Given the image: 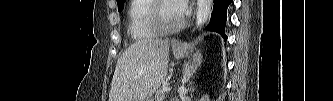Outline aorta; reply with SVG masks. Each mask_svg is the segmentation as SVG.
Wrapping results in <instances>:
<instances>
[{
    "label": "aorta",
    "instance_id": "762f6f07",
    "mask_svg": "<svg viewBox=\"0 0 333 101\" xmlns=\"http://www.w3.org/2000/svg\"><path fill=\"white\" fill-rule=\"evenodd\" d=\"M213 0H198L197 1V13H196V27L201 30L203 25L209 19L211 14Z\"/></svg>",
    "mask_w": 333,
    "mask_h": 101
}]
</instances>
